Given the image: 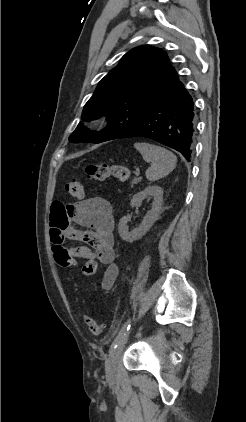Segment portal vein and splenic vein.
<instances>
[{
  "label": "portal vein and splenic vein",
  "mask_w": 246,
  "mask_h": 422,
  "mask_svg": "<svg viewBox=\"0 0 246 422\" xmlns=\"http://www.w3.org/2000/svg\"><path fill=\"white\" fill-rule=\"evenodd\" d=\"M135 174H136V176H138V175L140 174V172H139V171H136V173H135Z\"/></svg>",
  "instance_id": "portal-vein-and-splenic-vein-1"
}]
</instances>
